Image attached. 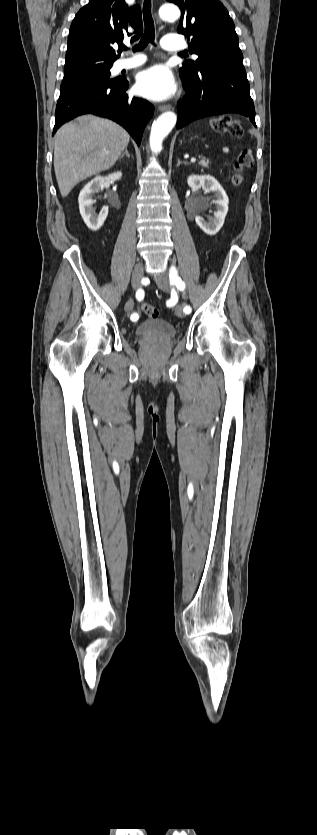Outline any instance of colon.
Returning a JSON list of instances; mask_svg holds the SVG:
<instances>
[{
    "label": "colon",
    "mask_w": 317,
    "mask_h": 835,
    "mask_svg": "<svg viewBox=\"0 0 317 835\" xmlns=\"http://www.w3.org/2000/svg\"><path fill=\"white\" fill-rule=\"evenodd\" d=\"M211 128L217 134H229L232 137L239 138L243 135V128L239 121L232 120L230 117L216 118L211 121ZM254 163V151L250 147H246L239 153L232 169L231 183L234 186H239L244 180L245 171ZM143 312L149 318H157L158 310L150 304L142 306Z\"/></svg>",
    "instance_id": "colon-1"
}]
</instances>
